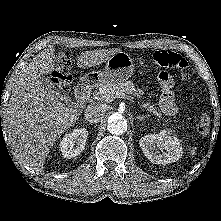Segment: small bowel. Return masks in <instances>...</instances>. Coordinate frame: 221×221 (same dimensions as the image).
Masks as SVG:
<instances>
[{"mask_svg":"<svg viewBox=\"0 0 221 221\" xmlns=\"http://www.w3.org/2000/svg\"><path fill=\"white\" fill-rule=\"evenodd\" d=\"M158 108L168 115H174L177 111V106L172 91L163 92Z\"/></svg>","mask_w":221,"mask_h":221,"instance_id":"c3829d8e","label":"small bowel"}]
</instances>
